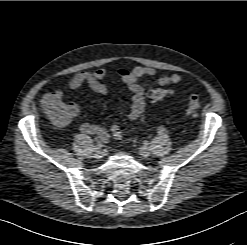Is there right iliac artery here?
<instances>
[{"label":"right iliac artery","instance_id":"right-iliac-artery-1","mask_svg":"<svg viewBox=\"0 0 247 245\" xmlns=\"http://www.w3.org/2000/svg\"><path fill=\"white\" fill-rule=\"evenodd\" d=\"M102 147H103L102 143H101V142H98V143L96 144V146H95L94 149L97 151V150L101 149Z\"/></svg>","mask_w":247,"mask_h":245}]
</instances>
